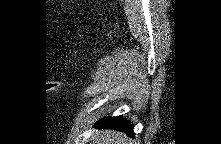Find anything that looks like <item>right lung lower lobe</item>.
<instances>
[{
    "mask_svg": "<svg viewBox=\"0 0 221 144\" xmlns=\"http://www.w3.org/2000/svg\"><path fill=\"white\" fill-rule=\"evenodd\" d=\"M96 126L123 131L128 135L134 137L133 125L130 124L128 120L123 119L121 116L102 119L96 124Z\"/></svg>",
    "mask_w": 221,
    "mask_h": 144,
    "instance_id": "obj_1",
    "label": "right lung lower lobe"
}]
</instances>
